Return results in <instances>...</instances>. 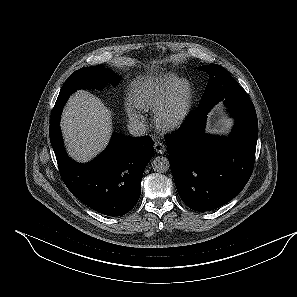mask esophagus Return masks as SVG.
<instances>
[{"label": "esophagus", "mask_w": 297, "mask_h": 297, "mask_svg": "<svg viewBox=\"0 0 297 297\" xmlns=\"http://www.w3.org/2000/svg\"><path fill=\"white\" fill-rule=\"evenodd\" d=\"M155 152L159 153V154H163L166 150L165 145L160 142V141H156L153 145Z\"/></svg>", "instance_id": "1"}]
</instances>
